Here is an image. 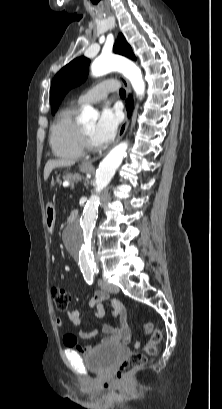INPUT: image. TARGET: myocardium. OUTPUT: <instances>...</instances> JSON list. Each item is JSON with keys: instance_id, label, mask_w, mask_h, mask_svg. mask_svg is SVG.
<instances>
[{"instance_id": "obj_1", "label": "myocardium", "mask_w": 222, "mask_h": 409, "mask_svg": "<svg viewBox=\"0 0 222 409\" xmlns=\"http://www.w3.org/2000/svg\"><path fill=\"white\" fill-rule=\"evenodd\" d=\"M81 143H82L84 150L86 151L92 152L96 150L95 145L91 142L83 126H81Z\"/></svg>"}]
</instances>
